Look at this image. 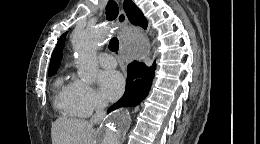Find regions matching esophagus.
I'll list each match as a JSON object with an SVG mask.
<instances>
[{"mask_svg":"<svg viewBox=\"0 0 260 144\" xmlns=\"http://www.w3.org/2000/svg\"><path fill=\"white\" fill-rule=\"evenodd\" d=\"M117 24L119 27V36L121 37L125 29L128 27V19L123 10H120L118 18H117Z\"/></svg>","mask_w":260,"mask_h":144,"instance_id":"34e87169","label":"esophagus"}]
</instances>
